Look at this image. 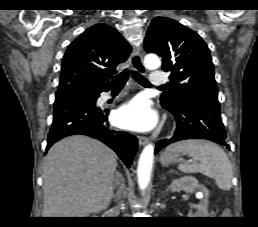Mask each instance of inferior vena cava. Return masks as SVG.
I'll return each instance as SVG.
<instances>
[{"label":"inferior vena cava","instance_id":"1","mask_svg":"<svg viewBox=\"0 0 258 227\" xmlns=\"http://www.w3.org/2000/svg\"><path fill=\"white\" fill-rule=\"evenodd\" d=\"M116 186L119 187V190H118V193H117V198H118V200H120V198H121V193H122V191H123L124 188H125V184H124V182H122V181H117ZM119 203H120V202H119Z\"/></svg>","mask_w":258,"mask_h":227}]
</instances>
